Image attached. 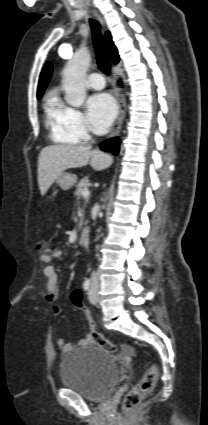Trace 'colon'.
Returning a JSON list of instances; mask_svg holds the SVG:
<instances>
[{
	"mask_svg": "<svg viewBox=\"0 0 208 425\" xmlns=\"http://www.w3.org/2000/svg\"><path fill=\"white\" fill-rule=\"evenodd\" d=\"M37 250L42 255H50L54 252L53 246L46 240H40L37 243ZM72 305L79 310H83V295L81 291L74 290L71 294ZM89 336L91 341L101 349L109 352L116 353L118 351L117 345L109 338L101 334L95 327L93 320L86 315ZM158 379V368L156 364L151 363L146 369L141 380L126 394L122 401V410L126 413L132 411L138 406L142 398L149 394L155 387Z\"/></svg>",
	"mask_w": 208,
	"mask_h": 425,
	"instance_id": "colon-1",
	"label": "colon"
}]
</instances>
